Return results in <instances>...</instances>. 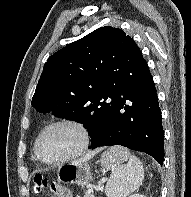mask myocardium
Returning <instances> with one entry per match:
<instances>
[{"label": "myocardium", "mask_w": 191, "mask_h": 197, "mask_svg": "<svg viewBox=\"0 0 191 197\" xmlns=\"http://www.w3.org/2000/svg\"><path fill=\"white\" fill-rule=\"evenodd\" d=\"M60 125L72 126L75 129H77L81 135V144L77 150H75L71 154H69L61 159L52 160V161L45 160L40 154V150H39L40 140H41L43 134L47 130H49L52 127L60 126ZM90 143H91L90 131H89L88 127L82 121L74 119V118H60V119H56V120L48 123L47 125H45L41 129V131L39 132V134L37 135V137L35 139L34 154H35L37 160L40 161L42 164H45L48 166H56V165H60L65 162H68L70 160H73V159L81 156L82 154H84L87 151V149L89 148Z\"/></svg>", "instance_id": "myocardium-1"}]
</instances>
